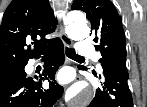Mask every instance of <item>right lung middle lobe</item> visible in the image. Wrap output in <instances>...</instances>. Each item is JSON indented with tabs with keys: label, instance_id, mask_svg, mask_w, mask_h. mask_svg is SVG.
I'll use <instances>...</instances> for the list:
<instances>
[{
	"label": "right lung middle lobe",
	"instance_id": "right-lung-middle-lobe-1",
	"mask_svg": "<svg viewBox=\"0 0 147 107\" xmlns=\"http://www.w3.org/2000/svg\"><path fill=\"white\" fill-rule=\"evenodd\" d=\"M25 66H13L0 69V83H3L11 78L23 75Z\"/></svg>",
	"mask_w": 147,
	"mask_h": 107
}]
</instances>
